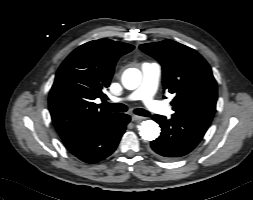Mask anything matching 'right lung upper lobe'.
<instances>
[{
    "label": "right lung upper lobe",
    "mask_w": 253,
    "mask_h": 200,
    "mask_svg": "<svg viewBox=\"0 0 253 200\" xmlns=\"http://www.w3.org/2000/svg\"><path fill=\"white\" fill-rule=\"evenodd\" d=\"M134 46L100 39L75 49L59 67L49 94V110L63 141L94 130L117 113L98 109L105 100L116 61Z\"/></svg>",
    "instance_id": "right-lung-upper-lobe-1"
}]
</instances>
